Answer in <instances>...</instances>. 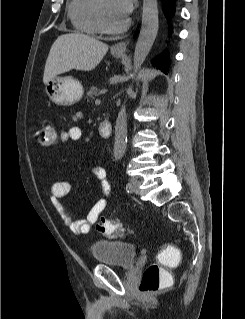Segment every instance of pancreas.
<instances>
[{"mask_svg": "<svg viewBox=\"0 0 245 319\" xmlns=\"http://www.w3.org/2000/svg\"><path fill=\"white\" fill-rule=\"evenodd\" d=\"M99 89L95 86H92L89 91L86 93V99H94L98 95Z\"/></svg>", "mask_w": 245, "mask_h": 319, "instance_id": "cf45deb5", "label": "pancreas"}]
</instances>
